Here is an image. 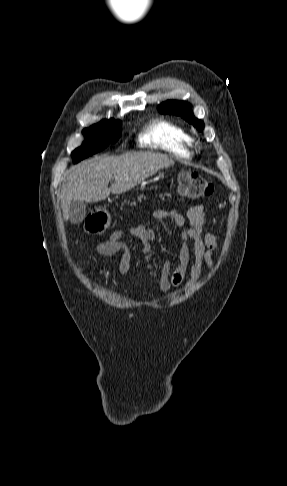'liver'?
<instances>
[{
  "mask_svg": "<svg viewBox=\"0 0 287 486\" xmlns=\"http://www.w3.org/2000/svg\"><path fill=\"white\" fill-rule=\"evenodd\" d=\"M172 165L174 161L168 156L138 152L117 157L99 156L73 167L65 173L62 183L64 220L69 219L72 201L98 202L106 199L110 193H124ZM111 179H114V183L108 188Z\"/></svg>",
  "mask_w": 287,
  "mask_h": 486,
  "instance_id": "1",
  "label": "liver"
}]
</instances>
